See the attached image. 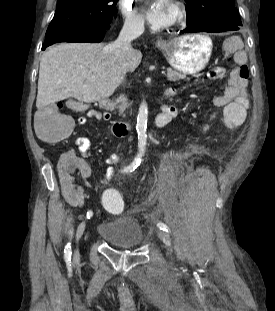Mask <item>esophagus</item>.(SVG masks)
I'll list each match as a JSON object with an SVG mask.
<instances>
[{
	"label": "esophagus",
	"mask_w": 275,
	"mask_h": 311,
	"mask_svg": "<svg viewBox=\"0 0 275 311\" xmlns=\"http://www.w3.org/2000/svg\"><path fill=\"white\" fill-rule=\"evenodd\" d=\"M164 41L162 40V39H158L157 40V43H159V44H161V43H163Z\"/></svg>",
	"instance_id": "esophagus-1"
}]
</instances>
